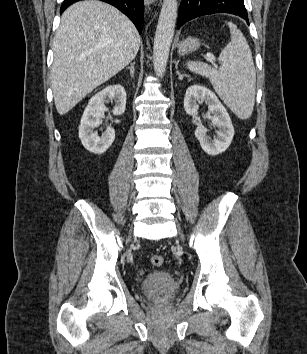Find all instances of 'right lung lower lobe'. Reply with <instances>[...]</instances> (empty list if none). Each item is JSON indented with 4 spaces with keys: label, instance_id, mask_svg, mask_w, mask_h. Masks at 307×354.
<instances>
[{
    "label": "right lung lower lobe",
    "instance_id": "1",
    "mask_svg": "<svg viewBox=\"0 0 307 354\" xmlns=\"http://www.w3.org/2000/svg\"><path fill=\"white\" fill-rule=\"evenodd\" d=\"M80 1V0H64L60 13L70 6L71 4ZM107 2L120 11H122L125 15H127L131 21L135 24L139 33L142 31V27L144 24L143 14H144V1L143 0H101Z\"/></svg>",
    "mask_w": 307,
    "mask_h": 354
}]
</instances>
